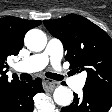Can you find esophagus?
I'll list each match as a JSON object with an SVG mask.
<instances>
[{
    "mask_svg": "<svg viewBox=\"0 0 112 112\" xmlns=\"http://www.w3.org/2000/svg\"><path fill=\"white\" fill-rule=\"evenodd\" d=\"M58 85L59 83L56 81L47 78L43 79V86L46 91H53Z\"/></svg>",
    "mask_w": 112,
    "mask_h": 112,
    "instance_id": "esophagus-1",
    "label": "esophagus"
}]
</instances>
